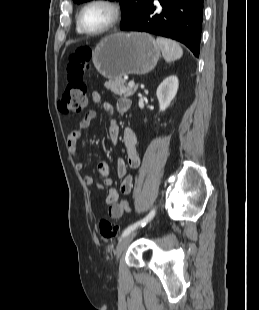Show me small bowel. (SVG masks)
Wrapping results in <instances>:
<instances>
[{
  "instance_id": "small-bowel-1",
  "label": "small bowel",
  "mask_w": 259,
  "mask_h": 310,
  "mask_svg": "<svg viewBox=\"0 0 259 310\" xmlns=\"http://www.w3.org/2000/svg\"><path fill=\"white\" fill-rule=\"evenodd\" d=\"M92 102L98 104L100 102V95L97 92H93L91 95ZM130 107V101L127 98H121L117 102V109L121 112L123 109L126 111ZM104 110L107 116L110 118L109 125V137L111 142L117 146L119 142V127L116 124L115 120L112 118L114 108L111 104L105 103ZM96 118V112L94 110L88 111L84 118L80 121L79 126L73 130L67 138L69 153L72 157L77 155V143L83 138L85 131L91 126L92 122ZM123 141L126 147L127 153V164L131 168H138L140 165V157L136 148V136L134 132L127 128L123 133ZM76 168L82 169L83 163L76 162ZM98 172L103 183L95 181L92 175H85L84 182L88 186L94 185L97 189H102L104 186L108 187V192L105 198V203L108 206V213L113 219H119L123 216L125 212L130 210L129 204L125 200L119 199V191L113 187L111 179L110 167L106 162H101L98 164ZM117 172L118 175L122 178L120 184V192L122 194H130L133 190L134 179L132 176H126V162L122 158L117 160Z\"/></svg>"
}]
</instances>
